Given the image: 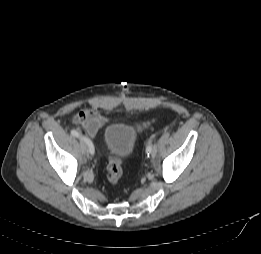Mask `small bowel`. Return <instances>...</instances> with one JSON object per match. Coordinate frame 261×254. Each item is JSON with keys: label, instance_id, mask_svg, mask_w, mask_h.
Returning <instances> with one entry per match:
<instances>
[{"label": "small bowel", "instance_id": "1", "mask_svg": "<svg viewBox=\"0 0 261 254\" xmlns=\"http://www.w3.org/2000/svg\"><path fill=\"white\" fill-rule=\"evenodd\" d=\"M72 122L82 126L86 133L93 137L108 122V118L95 109H85L73 115Z\"/></svg>", "mask_w": 261, "mask_h": 254}]
</instances>
